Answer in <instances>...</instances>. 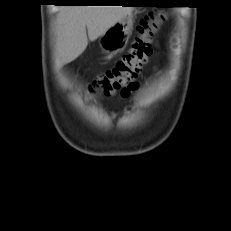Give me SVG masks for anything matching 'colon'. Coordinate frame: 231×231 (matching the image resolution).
<instances>
[{
	"instance_id": "colon-1",
	"label": "colon",
	"mask_w": 231,
	"mask_h": 231,
	"mask_svg": "<svg viewBox=\"0 0 231 231\" xmlns=\"http://www.w3.org/2000/svg\"><path fill=\"white\" fill-rule=\"evenodd\" d=\"M163 19L164 15L160 13L144 16L137 26V37L130 50L112 68L93 81L91 90L108 96L134 82L152 54V37Z\"/></svg>"
}]
</instances>
